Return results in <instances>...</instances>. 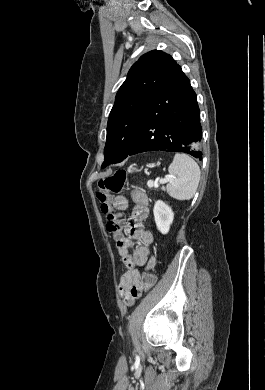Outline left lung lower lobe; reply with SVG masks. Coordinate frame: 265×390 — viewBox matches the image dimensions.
I'll return each instance as SVG.
<instances>
[{"instance_id": "left-lung-lower-lobe-1", "label": "left lung lower lobe", "mask_w": 265, "mask_h": 390, "mask_svg": "<svg viewBox=\"0 0 265 390\" xmlns=\"http://www.w3.org/2000/svg\"><path fill=\"white\" fill-rule=\"evenodd\" d=\"M199 115L196 94L177 64L148 105L127 156L165 151L183 152L202 160Z\"/></svg>"}]
</instances>
